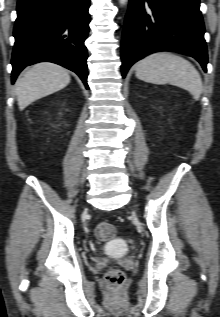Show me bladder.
Listing matches in <instances>:
<instances>
[{
    "label": "bladder",
    "instance_id": "obj_1",
    "mask_svg": "<svg viewBox=\"0 0 220 317\" xmlns=\"http://www.w3.org/2000/svg\"><path fill=\"white\" fill-rule=\"evenodd\" d=\"M127 250V244L120 238L110 239L106 243V251L111 255L122 256L127 253Z\"/></svg>",
    "mask_w": 220,
    "mask_h": 317
}]
</instances>
